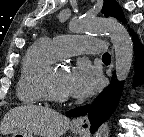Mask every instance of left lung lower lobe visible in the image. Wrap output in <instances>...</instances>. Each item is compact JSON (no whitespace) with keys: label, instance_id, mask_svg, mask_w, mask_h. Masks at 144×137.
Here are the masks:
<instances>
[{"label":"left lung lower lobe","instance_id":"0a47b994","mask_svg":"<svg viewBox=\"0 0 144 137\" xmlns=\"http://www.w3.org/2000/svg\"><path fill=\"white\" fill-rule=\"evenodd\" d=\"M132 35L134 38V51L137 69L134 84H137L139 81L143 80L144 49L139 45L136 35L133 32ZM122 88L123 82L118 83L117 81H111L110 85L98 95L91 106L86 105L84 107L75 108L67 112V115L77 117L88 113V118L91 123L90 130L93 133L101 125V123L104 122L114 112L118 104Z\"/></svg>","mask_w":144,"mask_h":137}]
</instances>
